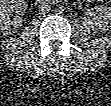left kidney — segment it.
<instances>
[{
	"label": "left kidney",
	"mask_w": 111,
	"mask_h": 106,
	"mask_svg": "<svg viewBox=\"0 0 111 106\" xmlns=\"http://www.w3.org/2000/svg\"><path fill=\"white\" fill-rule=\"evenodd\" d=\"M93 12V25L96 29L100 31H106L111 29V8L106 6L96 7ZM100 12L97 14V12Z\"/></svg>",
	"instance_id": "obj_1"
}]
</instances>
